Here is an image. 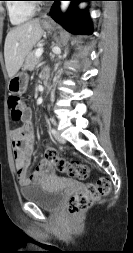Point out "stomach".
<instances>
[{
    "label": "stomach",
    "mask_w": 133,
    "mask_h": 253,
    "mask_svg": "<svg viewBox=\"0 0 133 253\" xmlns=\"http://www.w3.org/2000/svg\"><path fill=\"white\" fill-rule=\"evenodd\" d=\"M42 26L46 30H51L52 25L49 22L44 21ZM28 75L25 72H19L14 75L8 84V89L13 94H23L27 89Z\"/></svg>",
    "instance_id": "stomach-1"
}]
</instances>
